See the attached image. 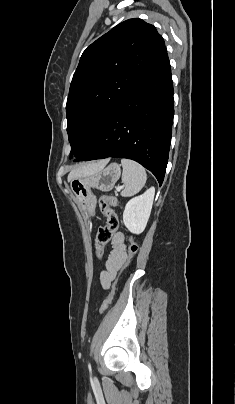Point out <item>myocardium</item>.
<instances>
[{"label":"myocardium","instance_id":"1","mask_svg":"<svg viewBox=\"0 0 235 404\" xmlns=\"http://www.w3.org/2000/svg\"><path fill=\"white\" fill-rule=\"evenodd\" d=\"M92 132H93L92 128L88 127V128H85L83 133L85 136H89Z\"/></svg>","mask_w":235,"mask_h":404}]
</instances>
